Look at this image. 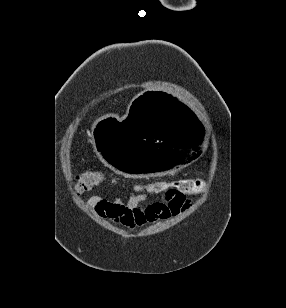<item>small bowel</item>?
Instances as JSON below:
<instances>
[{"mask_svg": "<svg viewBox=\"0 0 286 308\" xmlns=\"http://www.w3.org/2000/svg\"><path fill=\"white\" fill-rule=\"evenodd\" d=\"M195 193L171 190L161 200L149 202V195L140 192L124 199H108L101 194L92 196L87 204L101 218L112 224L135 229L158 220L169 219L189 208Z\"/></svg>", "mask_w": 286, "mask_h": 308, "instance_id": "c3829d8e", "label": "small bowel"}]
</instances>
